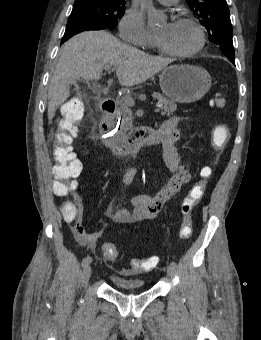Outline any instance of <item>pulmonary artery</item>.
<instances>
[{
  "mask_svg": "<svg viewBox=\"0 0 261 340\" xmlns=\"http://www.w3.org/2000/svg\"><path fill=\"white\" fill-rule=\"evenodd\" d=\"M158 1L164 5H173L177 3L178 0H158Z\"/></svg>",
  "mask_w": 261,
  "mask_h": 340,
  "instance_id": "pulmonary-artery-1",
  "label": "pulmonary artery"
}]
</instances>
